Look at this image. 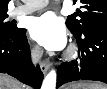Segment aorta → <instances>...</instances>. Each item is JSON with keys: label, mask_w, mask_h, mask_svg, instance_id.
<instances>
[{"label": "aorta", "mask_w": 107, "mask_h": 89, "mask_svg": "<svg viewBox=\"0 0 107 89\" xmlns=\"http://www.w3.org/2000/svg\"><path fill=\"white\" fill-rule=\"evenodd\" d=\"M56 71L51 70L43 80L41 89H55L56 88Z\"/></svg>", "instance_id": "1"}]
</instances>
